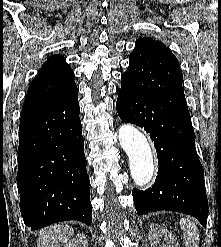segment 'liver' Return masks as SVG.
<instances>
[{
    "mask_svg": "<svg viewBox=\"0 0 221 247\" xmlns=\"http://www.w3.org/2000/svg\"><path fill=\"white\" fill-rule=\"evenodd\" d=\"M74 230L69 225H53L39 233L38 247H60L72 236Z\"/></svg>",
    "mask_w": 221,
    "mask_h": 247,
    "instance_id": "liver-1",
    "label": "liver"
}]
</instances>
